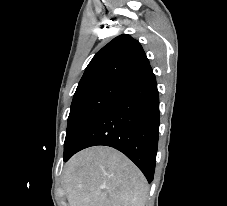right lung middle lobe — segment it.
Segmentation results:
<instances>
[{"mask_svg": "<svg viewBox=\"0 0 227 206\" xmlns=\"http://www.w3.org/2000/svg\"><path fill=\"white\" fill-rule=\"evenodd\" d=\"M128 84L123 80L107 79L76 90L68 117L64 157L71 153L91 123L127 89Z\"/></svg>", "mask_w": 227, "mask_h": 206, "instance_id": "dd1d6c3e", "label": "right lung middle lobe"}]
</instances>
